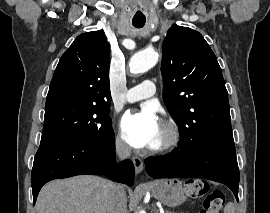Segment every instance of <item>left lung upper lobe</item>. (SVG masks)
I'll return each instance as SVG.
<instances>
[{
  "instance_id": "1",
  "label": "left lung upper lobe",
  "mask_w": 270,
  "mask_h": 213,
  "mask_svg": "<svg viewBox=\"0 0 270 213\" xmlns=\"http://www.w3.org/2000/svg\"><path fill=\"white\" fill-rule=\"evenodd\" d=\"M162 50L163 99L180 128L181 140L234 141L221 68L202 35L174 25Z\"/></svg>"
}]
</instances>
